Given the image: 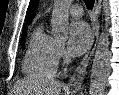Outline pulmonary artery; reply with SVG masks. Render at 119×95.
Returning a JSON list of instances; mask_svg holds the SVG:
<instances>
[{"label":"pulmonary artery","mask_w":119,"mask_h":95,"mask_svg":"<svg viewBox=\"0 0 119 95\" xmlns=\"http://www.w3.org/2000/svg\"><path fill=\"white\" fill-rule=\"evenodd\" d=\"M69 12L73 17L79 18L83 15V9L80 5L74 4L69 8Z\"/></svg>","instance_id":"obj_1"}]
</instances>
